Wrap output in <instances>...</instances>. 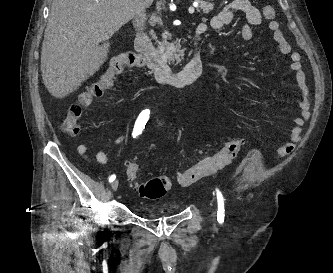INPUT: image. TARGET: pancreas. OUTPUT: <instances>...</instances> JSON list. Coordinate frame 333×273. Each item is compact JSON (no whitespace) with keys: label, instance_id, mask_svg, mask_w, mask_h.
I'll use <instances>...</instances> for the list:
<instances>
[{"label":"pancreas","instance_id":"obj_1","mask_svg":"<svg viewBox=\"0 0 333 273\" xmlns=\"http://www.w3.org/2000/svg\"><path fill=\"white\" fill-rule=\"evenodd\" d=\"M199 6V9L202 10L203 13H208L213 9V4L203 1V0H196ZM162 42L158 45V51L169 61L172 63L176 62L177 64L181 61V57H183L184 53L181 50L180 42H169L171 40V34L167 31L162 35Z\"/></svg>","mask_w":333,"mask_h":273}]
</instances>
